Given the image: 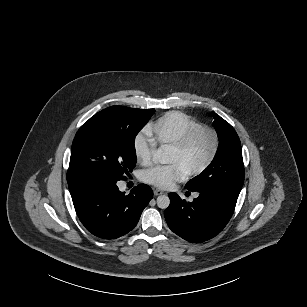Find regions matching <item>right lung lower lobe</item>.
<instances>
[{"instance_id":"1","label":"right lung lower lobe","mask_w":307,"mask_h":307,"mask_svg":"<svg viewBox=\"0 0 307 307\" xmlns=\"http://www.w3.org/2000/svg\"><path fill=\"white\" fill-rule=\"evenodd\" d=\"M117 181L92 178L69 184L80 221L99 238L114 239L131 231L153 197L151 188L145 184L138 185L125 195L118 190Z\"/></svg>"}]
</instances>
